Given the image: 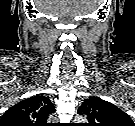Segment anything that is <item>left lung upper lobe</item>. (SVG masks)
<instances>
[{
    "instance_id": "1",
    "label": "left lung upper lobe",
    "mask_w": 135,
    "mask_h": 126,
    "mask_svg": "<svg viewBox=\"0 0 135 126\" xmlns=\"http://www.w3.org/2000/svg\"><path fill=\"white\" fill-rule=\"evenodd\" d=\"M78 113L87 116V126H135L120 108L95 96L86 99Z\"/></svg>"
}]
</instances>
